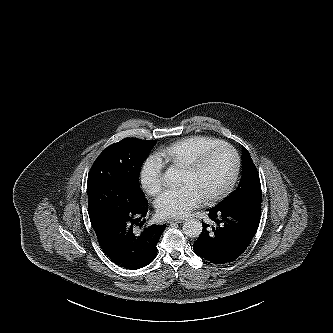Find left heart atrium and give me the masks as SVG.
Segmentation results:
<instances>
[{
  "label": "left heart atrium",
  "mask_w": 333,
  "mask_h": 333,
  "mask_svg": "<svg viewBox=\"0 0 333 333\" xmlns=\"http://www.w3.org/2000/svg\"><path fill=\"white\" fill-rule=\"evenodd\" d=\"M204 198L191 185L165 190L156 200L157 212L165 218H180L198 207Z\"/></svg>",
  "instance_id": "1"
}]
</instances>
